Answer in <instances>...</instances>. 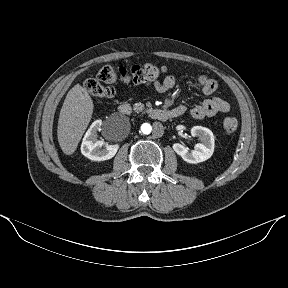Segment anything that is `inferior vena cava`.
Wrapping results in <instances>:
<instances>
[{"instance_id": "inferior-vena-cava-1", "label": "inferior vena cava", "mask_w": 288, "mask_h": 288, "mask_svg": "<svg viewBox=\"0 0 288 288\" xmlns=\"http://www.w3.org/2000/svg\"><path fill=\"white\" fill-rule=\"evenodd\" d=\"M152 128H153V130L151 131V136L154 139H160L162 137V133H163V126H162L161 122L154 121L152 123Z\"/></svg>"}]
</instances>
